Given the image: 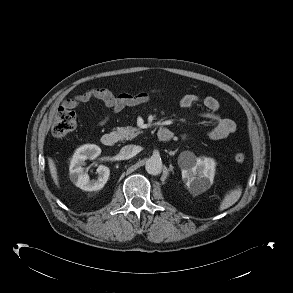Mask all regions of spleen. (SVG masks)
<instances>
[{
    "instance_id": "3e777b00",
    "label": "spleen",
    "mask_w": 293,
    "mask_h": 293,
    "mask_svg": "<svg viewBox=\"0 0 293 293\" xmlns=\"http://www.w3.org/2000/svg\"><path fill=\"white\" fill-rule=\"evenodd\" d=\"M241 194H242L241 187H238L237 189L230 191L229 194H227L225 198L223 199L220 205V210H225L231 207L232 205H234L239 200Z\"/></svg>"
}]
</instances>
